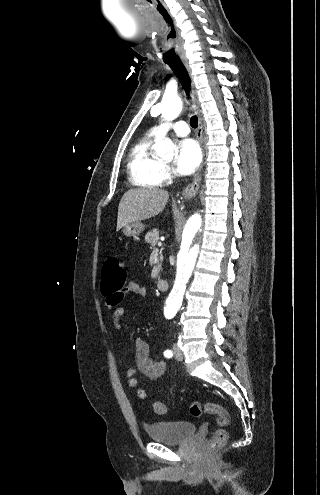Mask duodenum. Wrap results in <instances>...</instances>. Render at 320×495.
I'll return each instance as SVG.
<instances>
[{
	"mask_svg": "<svg viewBox=\"0 0 320 495\" xmlns=\"http://www.w3.org/2000/svg\"><path fill=\"white\" fill-rule=\"evenodd\" d=\"M157 287L160 291L168 290L169 283L166 279H160L157 283Z\"/></svg>",
	"mask_w": 320,
	"mask_h": 495,
	"instance_id": "obj_1",
	"label": "duodenum"
}]
</instances>
